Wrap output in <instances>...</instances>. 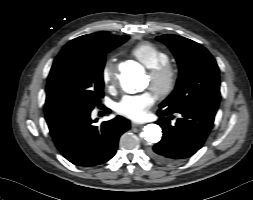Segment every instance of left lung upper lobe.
<instances>
[{
    "label": "left lung upper lobe",
    "instance_id": "left-lung-upper-lobe-1",
    "mask_svg": "<svg viewBox=\"0 0 253 200\" xmlns=\"http://www.w3.org/2000/svg\"><path fill=\"white\" fill-rule=\"evenodd\" d=\"M157 40L171 49L179 67L176 88L160 108L171 113L196 108L217 111L220 78L213 56L200 44L178 35L164 34Z\"/></svg>",
    "mask_w": 253,
    "mask_h": 200
}]
</instances>
